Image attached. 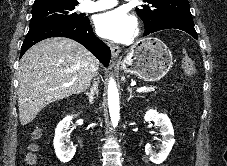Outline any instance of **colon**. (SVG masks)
Returning <instances> with one entry per match:
<instances>
[{
    "label": "colon",
    "instance_id": "obj_1",
    "mask_svg": "<svg viewBox=\"0 0 227 166\" xmlns=\"http://www.w3.org/2000/svg\"><path fill=\"white\" fill-rule=\"evenodd\" d=\"M181 66L183 67L186 74H192L194 72V63L192 58L188 54H183L180 60ZM33 160V159H32Z\"/></svg>",
    "mask_w": 227,
    "mask_h": 166
}]
</instances>
